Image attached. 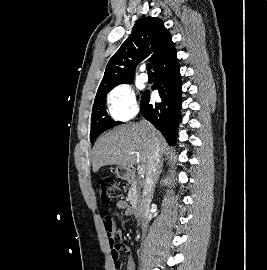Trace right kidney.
Returning <instances> with one entry per match:
<instances>
[{
    "label": "right kidney",
    "mask_w": 267,
    "mask_h": 270,
    "mask_svg": "<svg viewBox=\"0 0 267 270\" xmlns=\"http://www.w3.org/2000/svg\"><path fill=\"white\" fill-rule=\"evenodd\" d=\"M164 183H167V179L163 180Z\"/></svg>",
    "instance_id": "1"
}]
</instances>
